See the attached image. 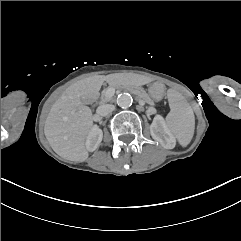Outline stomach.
Masks as SVG:
<instances>
[{
  "label": "stomach",
  "instance_id": "stomach-1",
  "mask_svg": "<svg viewBox=\"0 0 241 241\" xmlns=\"http://www.w3.org/2000/svg\"><path fill=\"white\" fill-rule=\"evenodd\" d=\"M166 92V87L163 83L154 82L148 89V93L151 98L156 101H160Z\"/></svg>",
  "mask_w": 241,
  "mask_h": 241
}]
</instances>
